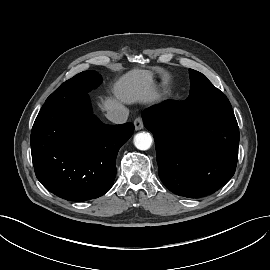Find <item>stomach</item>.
<instances>
[{"instance_id":"stomach-1","label":"stomach","mask_w":270,"mask_h":270,"mask_svg":"<svg viewBox=\"0 0 270 270\" xmlns=\"http://www.w3.org/2000/svg\"><path fill=\"white\" fill-rule=\"evenodd\" d=\"M152 74L154 79L160 82L158 88L160 91H162L163 90L162 82L166 79V73L163 70L156 68L152 71Z\"/></svg>"}]
</instances>
